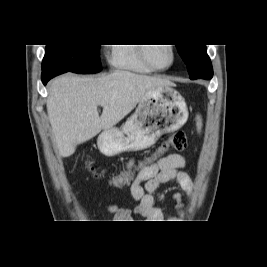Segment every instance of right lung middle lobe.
<instances>
[{
  "label": "right lung middle lobe",
  "instance_id": "1",
  "mask_svg": "<svg viewBox=\"0 0 267 267\" xmlns=\"http://www.w3.org/2000/svg\"><path fill=\"white\" fill-rule=\"evenodd\" d=\"M99 45H46L42 70L55 68L80 74L102 70Z\"/></svg>",
  "mask_w": 267,
  "mask_h": 267
}]
</instances>
